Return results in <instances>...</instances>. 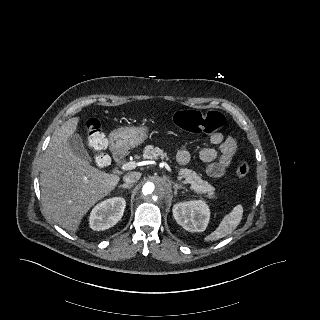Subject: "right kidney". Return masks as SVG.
<instances>
[{
  "instance_id": "ca27d5eb",
  "label": "right kidney",
  "mask_w": 320,
  "mask_h": 320,
  "mask_svg": "<svg viewBox=\"0 0 320 320\" xmlns=\"http://www.w3.org/2000/svg\"><path fill=\"white\" fill-rule=\"evenodd\" d=\"M126 201L122 197L106 199L97 204L90 214V227L95 231L109 229L122 218Z\"/></svg>"
}]
</instances>
